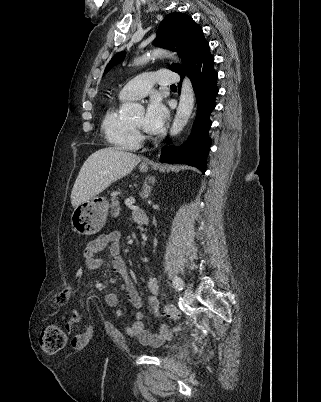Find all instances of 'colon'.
<instances>
[{"instance_id":"colon-1","label":"colon","mask_w":321,"mask_h":402,"mask_svg":"<svg viewBox=\"0 0 321 402\" xmlns=\"http://www.w3.org/2000/svg\"><path fill=\"white\" fill-rule=\"evenodd\" d=\"M69 291L65 290L57 295L56 304L65 305L69 300ZM162 315L179 319L181 311L172 304H167L163 308ZM68 342L67 334L56 324L47 323L43 326L40 334V345L42 350L47 354H55L63 350Z\"/></svg>"}]
</instances>
